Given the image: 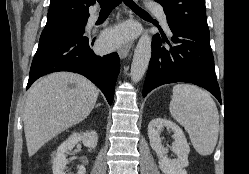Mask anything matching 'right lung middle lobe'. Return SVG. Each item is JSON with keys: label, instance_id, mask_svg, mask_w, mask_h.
I'll list each match as a JSON object with an SVG mask.
<instances>
[{"label": "right lung middle lobe", "instance_id": "dd1d6c3e", "mask_svg": "<svg viewBox=\"0 0 249 174\" xmlns=\"http://www.w3.org/2000/svg\"><path fill=\"white\" fill-rule=\"evenodd\" d=\"M87 20H72L45 27L40 36L39 45L47 44L60 36L83 33Z\"/></svg>", "mask_w": 249, "mask_h": 174}]
</instances>
